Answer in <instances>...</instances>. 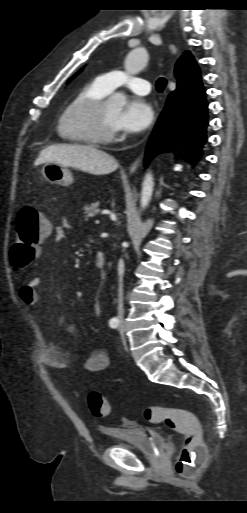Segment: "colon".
<instances>
[{"label":"colon","mask_w":247,"mask_h":513,"mask_svg":"<svg viewBox=\"0 0 247 513\" xmlns=\"http://www.w3.org/2000/svg\"><path fill=\"white\" fill-rule=\"evenodd\" d=\"M50 222L35 204L23 207L16 221V232L10 249L12 267L25 269L37 255L38 245L48 236ZM91 413L99 418L111 413L109 402L98 392H91L87 398ZM144 418L151 423L165 424L184 435L182 449L175 463V472L182 477H194L202 467L207 451L202 438V430L197 417L190 411L160 406H147Z\"/></svg>","instance_id":"5ec220e1"}]
</instances>
